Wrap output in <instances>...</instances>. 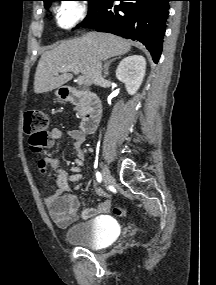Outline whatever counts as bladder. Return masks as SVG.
Here are the masks:
<instances>
[{
	"instance_id": "1",
	"label": "bladder",
	"mask_w": 216,
	"mask_h": 285,
	"mask_svg": "<svg viewBox=\"0 0 216 285\" xmlns=\"http://www.w3.org/2000/svg\"><path fill=\"white\" fill-rule=\"evenodd\" d=\"M117 236L118 227L108 216L77 222L65 232L68 243L92 250L111 245Z\"/></svg>"
}]
</instances>
